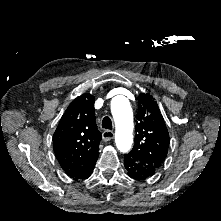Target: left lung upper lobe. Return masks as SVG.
<instances>
[{
	"mask_svg": "<svg viewBox=\"0 0 221 221\" xmlns=\"http://www.w3.org/2000/svg\"><path fill=\"white\" fill-rule=\"evenodd\" d=\"M136 119L135 144L126 155L154 173L166 158L170 138L157 102L150 94H139Z\"/></svg>",
	"mask_w": 221,
	"mask_h": 221,
	"instance_id": "obj_1",
	"label": "left lung upper lobe"
}]
</instances>
